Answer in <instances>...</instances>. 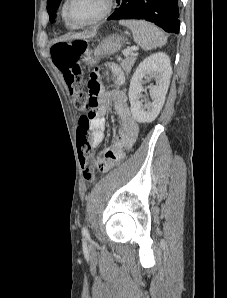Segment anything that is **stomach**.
<instances>
[{"mask_svg": "<svg viewBox=\"0 0 227 298\" xmlns=\"http://www.w3.org/2000/svg\"><path fill=\"white\" fill-rule=\"evenodd\" d=\"M124 42L125 38L122 36L114 34L108 36L94 51H91L86 55V57L84 58L85 65H95L102 57L118 52Z\"/></svg>", "mask_w": 227, "mask_h": 298, "instance_id": "1", "label": "stomach"}]
</instances>
